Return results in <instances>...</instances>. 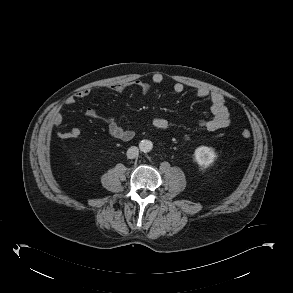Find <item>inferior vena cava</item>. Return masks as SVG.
I'll return each mask as SVG.
<instances>
[{
  "instance_id": "1",
  "label": "inferior vena cava",
  "mask_w": 293,
  "mask_h": 293,
  "mask_svg": "<svg viewBox=\"0 0 293 293\" xmlns=\"http://www.w3.org/2000/svg\"><path fill=\"white\" fill-rule=\"evenodd\" d=\"M139 154V149L136 146H131L128 150H127V157L129 159H134L136 157H138Z\"/></svg>"
}]
</instances>
